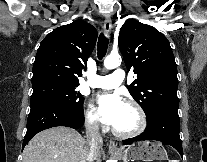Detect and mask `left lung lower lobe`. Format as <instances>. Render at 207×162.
I'll return each instance as SVG.
<instances>
[{
  "mask_svg": "<svg viewBox=\"0 0 207 162\" xmlns=\"http://www.w3.org/2000/svg\"><path fill=\"white\" fill-rule=\"evenodd\" d=\"M145 131L137 137L124 140V144H131L140 140H156L174 147L183 156L182 144L179 136L180 122L178 105L165 104L156 107L147 117Z\"/></svg>",
  "mask_w": 207,
  "mask_h": 162,
  "instance_id": "obj_1",
  "label": "left lung lower lobe"
}]
</instances>
